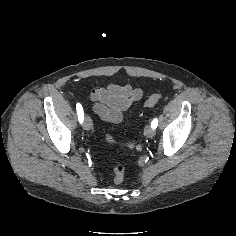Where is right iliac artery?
<instances>
[{"mask_svg": "<svg viewBox=\"0 0 236 236\" xmlns=\"http://www.w3.org/2000/svg\"><path fill=\"white\" fill-rule=\"evenodd\" d=\"M76 109H77L79 122L82 123L83 118H84V113H83V108H82L81 104L77 103Z\"/></svg>", "mask_w": 236, "mask_h": 236, "instance_id": "obj_1", "label": "right iliac artery"}]
</instances>
